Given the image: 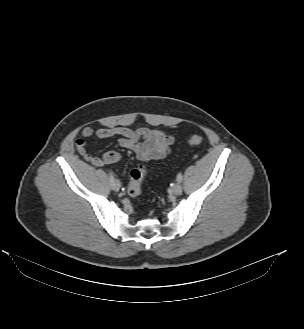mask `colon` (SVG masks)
Returning <instances> with one entry per match:
<instances>
[{"mask_svg":"<svg viewBox=\"0 0 304 329\" xmlns=\"http://www.w3.org/2000/svg\"><path fill=\"white\" fill-rule=\"evenodd\" d=\"M204 142V137L201 134H195L188 138L187 143L190 146H199ZM148 173V168L145 164L140 163L130 172V180L128 185V194L131 197H139L142 193V180Z\"/></svg>","mask_w":304,"mask_h":329,"instance_id":"colon-1","label":"colon"}]
</instances>
